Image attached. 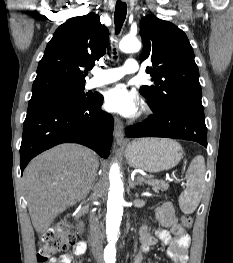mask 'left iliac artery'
I'll return each mask as SVG.
<instances>
[{
	"mask_svg": "<svg viewBox=\"0 0 233 263\" xmlns=\"http://www.w3.org/2000/svg\"><path fill=\"white\" fill-rule=\"evenodd\" d=\"M108 263H115V261H110V262H108Z\"/></svg>",
	"mask_w": 233,
	"mask_h": 263,
	"instance_id": "44dca946",
	"label": "left iliac artery"
}]
</instances>
